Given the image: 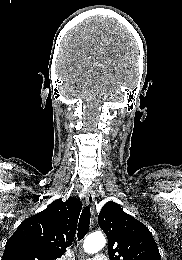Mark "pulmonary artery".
<instances>
[{
    "mask_svg": "<svg viewBox=\"0 0 182 260\" xmlns=\"http://www.w3.org/2000/svg\"><path fill=\"white\" fill-rule=\"evenodd\" d=\"M87 260H107L106 256L103 254H97L95 255L93 258L91 259H87Z\"/></svg>",
    "mask_w": 182,
    "mask_h": 260,
    "instance_id": "1",
    "label": "pulmonary artery"
}]
</instances>
